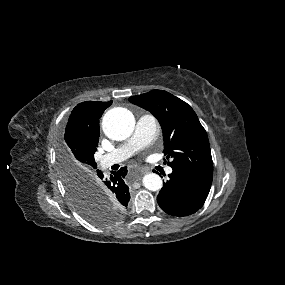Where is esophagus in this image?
<instances>
[{
  "instance_id": "obj_1",
  "label": "esophagus",
  "mask_w": 285,
  "mask_h": 285,
  "mask_svg": "<svg viewBox=\"0 0 285 285\" xmlns=\"http://www.w3.org/2000/svg\"><path fill=\"white\" fill-rule=\"evenodd\" d=\"M149 172H150V169H149V168H147V167L141 168V173H142V174H146V173H149Z\"/></svg>"
}]
</instances>
